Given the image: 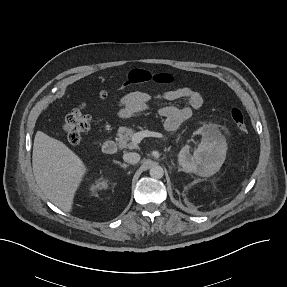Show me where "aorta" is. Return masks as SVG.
I'll list each match as a JSON object with an SVG mask.
<instances>
[{
  "mask_svg": "<svg viewBox=\"0 0 287 287\" xmlns=\"http://www.w3.org/2000/svg\"><path fill=\"white\" fill-rule=\"evenodd\" d=\"M163 175H164V170L161 166L155 165V166L151 167L150 176L153 179H161L163 177Z\"/></svg>",
  "mask_w": 287,
  "mask_h": 287,
  "instance_id": "aorta-1",
  "label": "aorta"
}]
</instances>
